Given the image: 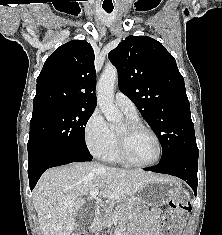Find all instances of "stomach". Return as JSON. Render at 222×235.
Returning <instances> with one entry per match:
<instances>
[{"label":"stomach","instance_id":"0dacf381","mask_svg":"<svg viewBox=\"0 0 222 235\" xmlns=\"http://www.w3.org/2000/svg\"><path fill=\"white\" fill-rule=\"evenodd\" d=\"M181 191V183L173 177H158L148 182L138 191L136 197L131 199L137 206H161L169 202Z\"/></svg>","mask_w":222,"mask_h":235}]
</instances>
